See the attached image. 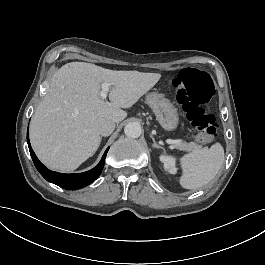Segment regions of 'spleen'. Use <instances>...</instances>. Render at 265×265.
Masks as SVG:
<instances>
[{"mask_svg":"<svg viewBox=\"0 0 265 265\" xmlns=\"http://www.w3.org/2000/svg\"><path fill=\"white\" fill-rule=\"evenodd\" d=\"M179 184L185 189H196L209 183L224 162V148L215 142L209 148L195 149L179 157Z\"/></svg>","mask_w":265,"mask_h":265,"instance_id":"1","label":"spleen"}]
</instances>
